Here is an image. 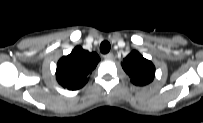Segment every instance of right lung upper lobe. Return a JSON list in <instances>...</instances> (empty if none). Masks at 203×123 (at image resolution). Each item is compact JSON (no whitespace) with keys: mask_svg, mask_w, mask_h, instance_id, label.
Wrapping results in <instances>:
<instances>
[{"mask_svg":"<svg viewBox=\"0 0 203 123\" xmlns=\"http://www.w3.org/2000/svg\"><path fill=\"white\" fill-rule=\"evenodd\" d=\"M99 61L100 58L96 53H90L77 46L69 55L58 61L56 79L64 88L79 89L86 84L88 75Z\"/></svg>","mask_w":203,"mask_h":123,"instance_id":"right-lung-upper-lobe-1","label":"right lung upper lobe"}]
</instances>
